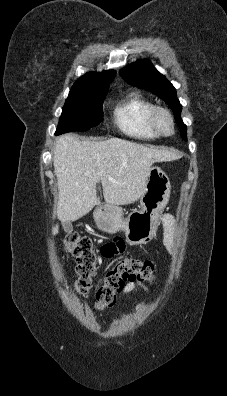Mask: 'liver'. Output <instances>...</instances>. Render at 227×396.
<instances>
[{
  "label": "liver",
  "mask_w": 227,
  "mask_h": 396,
  "mask_svg": "<svg viewBox=\"0 0 227 396\" xmlns=\"http://www.w3.org/2000/svg\"><path fill=\"white\" fill-rule=\"evenodd\" d=\"M176 158L171 151L120 138L85 141L73 134L58 137L53 157L59 191L58 219L62 223L73 222L88 214L100 202L98 183L102 184L107 204L127 205L137 201L152 164ZM52 232L57 234L58 226Z\"/></svg>",
  "instance_id": "1"
}]
</instances>
